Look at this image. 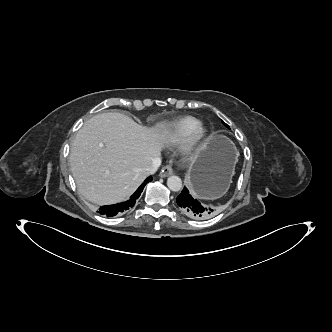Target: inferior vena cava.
<instances>
[{"mask_svg":"<svg viewBox=\"0 0 332 332\" xmlns=\"http://www.w3.org/2000/svg\"><path fill=\"white\" fill-rule=\"evenodd\" d=\"M160 165H161V158L157 157L152 161V163L147 168H145L147 175L154 174Z\"/></svg>","mask_w":332,"mask_h":332,"instance_id":"602c4592","label":"inferior vena cava"}]
</instances>
